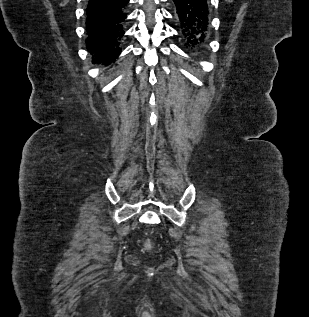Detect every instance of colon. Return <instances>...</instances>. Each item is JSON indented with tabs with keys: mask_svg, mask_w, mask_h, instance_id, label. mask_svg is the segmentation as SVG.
<instances>
[{
	"mask_svg": "<svg viewBox=\"0 0 309 317\" xmlns=\"http://www.w3.org/2000/svg\"><path fill=\"white\" fill-rule=\"evenodd\" d=\"M144 247H145L146 250H150L151 249L152 245H151L150 240H148V239L145 240Z\"/></svg>",
	"mask_w": 309,
	"mask_h": 317,
	"instance_id": "colon-1",
	"label": "colon"
}]
</instances>
